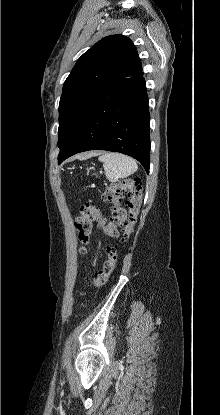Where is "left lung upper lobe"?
I'll use <instances>...</instances> for the list:
<instances>
[{"mask_svg":"<svg viewBox=\"0 0 220 415\" xmlns=\"http://www.w3.org/2000/svg\"><path fill=\"white\" fill-rule=\"evenodd\" d=\"M141 71L137 49L123 35L101 39L78 59L64 82L60 99L59 154L70 147L86 115L107 87L116 79Z\"/></svg>","mask_w":220,"mask_h":415,"instance_id":"5c2ea615","label":"left lung upper lobe"}]
</instances>
